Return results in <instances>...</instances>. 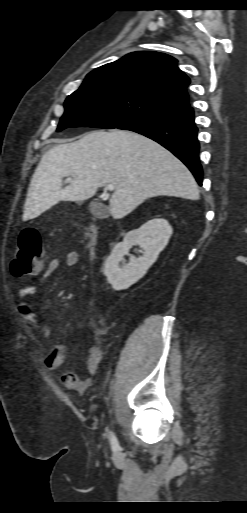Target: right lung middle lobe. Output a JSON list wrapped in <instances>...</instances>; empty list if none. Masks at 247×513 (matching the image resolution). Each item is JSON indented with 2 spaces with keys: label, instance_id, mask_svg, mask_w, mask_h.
I'll return each instance as SVG.
<instances>
[{
  "label": "right lung middle lobe",
  "instance_id": "right-lung-middle-lobe-1",
  "mask_svg": "<svg viewBox=\"0 0 247 513\" xmlns=\"http://www.w3.org/2000/svg\"><path fill=\"white\" fill-rule=\"evenodd\" d=\"M57 131L68 127L119 128L168 109L142 94L119 88L77 90L67 97Z\"/></svg>",
  "mask_w": 247,
  "mask_h": 513
}]
</instances>
